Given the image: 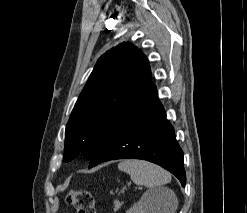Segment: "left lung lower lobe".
I'll return each mask as SVG.
<instances>
[{"label": "left lung lower lobe", "mask_w": 247, "mask_h": 213, "mask_svg": "<svg viewBox=\"0 0 247 213\" xmlns=\"http://www.w3.org/2000/svg\"><path fill=\"white\" fill-rule=\"evenodd\" d=\"M151 73L138 97L115 121L90 158L89 168L115 159H143L173 173L184 187L183 152L166 119Z\"/></svg>", "instance_id": "1"}]
</instances>
